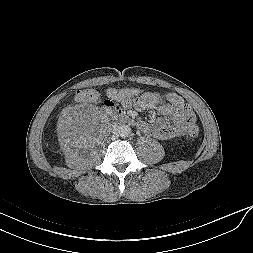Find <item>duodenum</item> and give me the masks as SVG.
<instances>
[{"label":"duodenum","instance_id":"obj_1","mask_svg":"<svg viewBox=\"0 0 253 253\" xmlns=\"http://www.w3.org/2000/svg\"><path fill=\"white\" fill-rule=\"evenodd\" d=\"M112 115L116 120L120 121L121 123H124V124H134L135 123V121L130 116H128L124 113L113 112Z\"/></svg>","mask_w":253,"mask_h":253}]
</instances>
